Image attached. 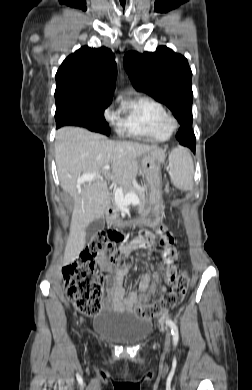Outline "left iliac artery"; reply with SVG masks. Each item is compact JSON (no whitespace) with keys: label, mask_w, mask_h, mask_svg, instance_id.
<instances>
[{"label":"left iliac artery","mask_w":252,"mask_h":390,"mask_svg":"<svg viewBox=\"0 0 252 390\" xmlns=\"http://www.w3.org/2000/svg\"><path fill=\"white\" fill-rule=\"evenodd\" d=\"M166 323L169 325V327L171 328V333H172V336H173V344L174 346L177 345L178 343V340H179V333H178V327L176 326V324L169 318L166 319Z\"/></svg>","instance_id":"obj_1"}]
</instances>
